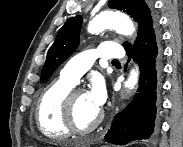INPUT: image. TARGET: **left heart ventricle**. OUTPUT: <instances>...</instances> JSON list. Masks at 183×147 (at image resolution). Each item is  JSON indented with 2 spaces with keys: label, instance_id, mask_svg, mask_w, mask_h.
<instances>
[{
  "label": "left heart ventricle",
  "instance_id": "left-heart-ventricle-1",
  "mask_svg": "<svg viewBox=\"0 0 183 147\" xmlns=\"http://www.w3.org/2000/svg\"><path fill=\"white\" fill-rule=\"evenodd\" d=\"M99 109L90 101L86 93L79 94L74 104V119L80 128L88 127L97 117Z\"/></svg>",
  "mask_w": 183,
  "mask_h": 147
}]
</instances>
